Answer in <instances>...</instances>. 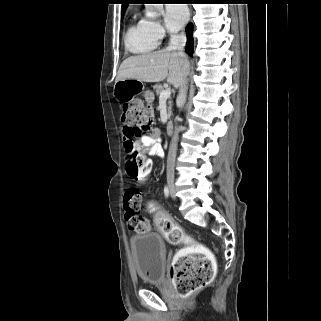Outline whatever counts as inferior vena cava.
<instances>
[{"label": "inferior vena cava", "instance_id": "602c4592", "mask_svg": "<svg viewBox=\"0 0 321 321\" xmlns=\"http://www.w3.org/2000/svg\"><path fill=\"white\" fill-rule=\"evenodd\" d=\"M186 44V35L184 33H170V43L168 46L169 50H175L180 55L184 56V47ZM186 76L181 81L179 85V94L177 96V104L180 108L183 107L186 101V94H187V87H186ZM178 133L179 128L175 127V132L173 134L168 158H167V175H174V167H175V160H176V152H177V144H178Z\"/></svg>", "mask_w": 321, "mask_h": 321}]
</instances>
